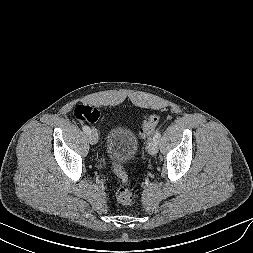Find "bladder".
<instances>
[{"label": "bladder", "mask_w": 253, "mask_h": 253, "mask_svg": "<svg viewBox=\"0 0 253 253\" xmlns=\"http://www.w3.org/2000/svg\"><path fill=\"white\" fill-rule=\"evenodd\" d=\"M105 148L109 159L114 163H129L137 152L138 141L131 129L114 127L105 137Z\"/></svg>", "instance_id": "1"}]
</instances>
